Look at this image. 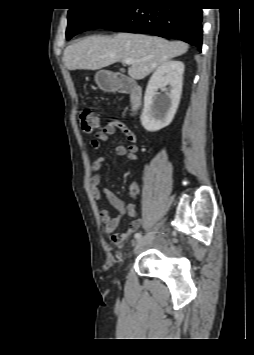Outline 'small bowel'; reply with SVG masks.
<instances>
[{
    "instance_id": "1",
    "label": "small bowel",
    "mask_w": 254,
    "mask_h": 355,
    "mask_svg": "<svg viewBox=\"0 0 254 355\" xmlns=\"http://www.w3.org/2000/svg\"><path fill=\"white\" fill-rule=\"evenodd\" d=\"M117 131H121L126 139L128 145H118L115 148V152L118 156L126 157L129 160L137 159V137L134 132L122 121L111 120L100 131H98L90 142L91 147L98 151L101 149L102 142L109 139ZM105 164L104 157H98L92 164V170L94 172L91 178V190L92 196L96 201H99L104 195L108 202L118 211L116 217H112L106 208H101L99 215L102 223L104 224V230L106 234L115 244L123 243L131 234L137 232L142 224L141 212L137 210L136 205L131 202L126 204L123 199L114 193L112 190L102 187L99 171ZM129 196L132 200H137L140 196V188L136 182H133L129 186ZM131 217L133 220L128 226V230L123 233L116 232L120 226L122 220L126 217Z\"/></svg>"
}]
</instances>
